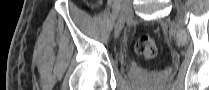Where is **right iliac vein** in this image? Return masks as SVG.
<instances>
[{
	"mask_svg": "<svg viewBox=\"0 0 209 90\" xmlns=\"http://www.w3.org/2000/svg\"><path fill=\"white\" fill-rule=\"evenodd\" d=\"M132 14V6L130 1H126L123 4L122 10L120 12V15L118 17L116 27H115V36L117 37L119 33L121 32L126 20L131 16Z\"/></svg>",
	"mask_w": 209,
	"mask_h": 90,
	"instance_id": "63e3f726",
	"label": "right iliac vein"
}]
</instances>
